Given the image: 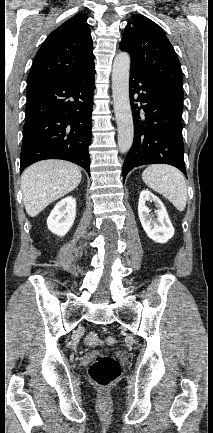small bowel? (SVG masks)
<instances>
[{"instance_id":"obj_1","label":"small bowel","mask_w":213,"mask_h":433,"mask_svg":"<svg viewBox=\"0 0 213 433\" xmlns=\"http://www.w3.org/2000/svg\"><path fill=\"white\" fill-rule=\"evenodd\" d=\"M85 343L89 346H95L100 343V339L96 333L90 332L85 338Z\"/></svg>"}]
</instances>
